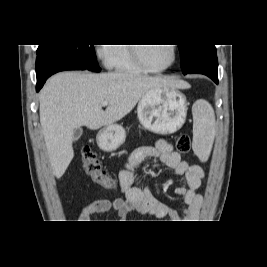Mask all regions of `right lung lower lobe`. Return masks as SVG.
Here are the masks:
<instances>
[{
    "label": "right lung lower lobe",
    "instance_id": "obj_1",
    "mask_svg": "<svg viewBox=\"0 0 267 267\" xmlns=\"http://www.w3.org/2000/svg\"><path fill=\"white\" fill-rule=\"evenodd\" d=\"M66 70H88L84 66L73 62L72 60L52 52H45L37 55L36 75L38 92L45 81L53 74Z\"/></svg>",
    "mask_w": 267,
    "mask_h": 267
}]
</instances>
